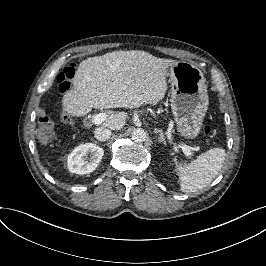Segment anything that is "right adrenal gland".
Masks as SVG:
<instances>
[{
  "label": "right adrenal gland",
  "mask_w": 266,
  "mask_h": 266,
  "mask_svg": "<svg viewBox=\"0 0 266 266\" xmlns=\"http://www.w3.org/2000/svg\"><path fill=\"white\" fill-rule=\"evenodd\" d=\"M91 141H93L95 144H99L98 142H96V140L94 138L91 139Z\"/></svg>",
  "instance_id": "2a0ac1e0"
}]
</instances>
